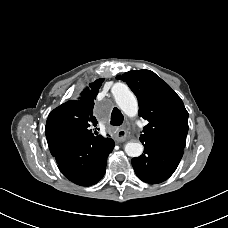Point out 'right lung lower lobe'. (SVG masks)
<instances>
[{
    "label": "right lung lower lobe",
    "mask_w": 228,
    "mask_h": 228,
    "mask_svg": "<svg viewBox=\"0 0 228 228\" xmlns=\"http://www.w3.org/2000/svg\"><path fill=\"white\" fill-rule=\"evenodd\" d=\"M62 174L75 184H96L105 174L107 157L114 148L110 138H77L49 146Z\"/></svg>",
    "instance_id": "obj_1"
}]
</instances>
